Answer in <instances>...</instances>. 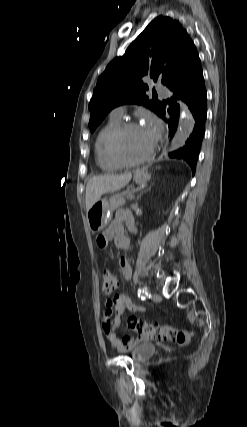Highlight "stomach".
Listing matches in <instances>:
<instances>
[{
	"instance_id": "stomach-1",
	"label": "stomach",
	"mask_w": 247,
	"mask_h": 427,
	"mask_svg": "<svg viewBox=\"0 0 247 427\" xmlns=\"http://www.w3.org/2000/svg\"><path fill=\"white\" fill-rule=\"evenodd\" d=\"M134 180L138 184H144L149 180V175L138 173ZM111 204L107 198L99 199L88 211L87 222L92 232L103 230L111 218Z\"/></svg>"
}]
</instances>
